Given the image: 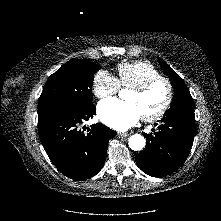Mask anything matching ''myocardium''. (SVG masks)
<instances>
[{
    "label": "myocardium",
    "mask_w": 221,
    "mask_h": 221,
    "mask_svg": "<svg viewBox=\"0 0 221 221\" xmlns=\"http://www.w3.org/2000/svg\"><path fill=\"white\" fill-rule=\"evenodd\" d=\"M158 84L165 85L167 89L166 99L158 111H156L153 114L142 115V119L146 122L157 121L161 119L167 113V111L169 110L172 104L173 97H174L173 86L167 78L160 76V77L149 79L145 81L144 83L131 88V90L137 94H145L146 92H148L150 89H152L154 86Z\"/></svg>",
    "instance_id": "obj_1"
}]
</instances>
